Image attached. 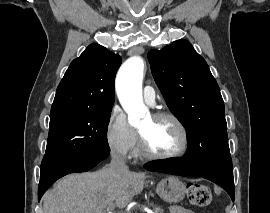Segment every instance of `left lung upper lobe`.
Here are the masks:
<instances>
[{
  "label": "left lung upper lobe",
  "instance_id": "obj_1",
  "mask_svg": "<svg viewBox=\"0 0 270 213\" xmlns=\"http://www.w3.org/2000/svg\"><path fill=\"white\" fill-rule=\"evenodd\" d=\"M151 72L206 172L232 168L224 102L206 61L186 40L148 53Z\"/></svg>",
  "mask_w": 270,
  "mask_h": 213
}]
</instances>
